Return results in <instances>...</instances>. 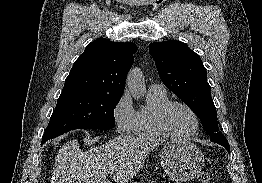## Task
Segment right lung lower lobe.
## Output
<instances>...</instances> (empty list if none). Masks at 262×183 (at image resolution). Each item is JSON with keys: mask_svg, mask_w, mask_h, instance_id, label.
<instances>
[{"mask_svg": "<svg viewBox=\"0 0 262 183\" xmlns=\"http://www.w3.org/2000/svg\"><path fill=\"white\" fill-rule=\"evenodd\" d=\"M46 141H47L46 139H42L41 145H42L43 143H45Z\"/></svg>", "mask_w": 262, "mask_h": 183, "instance_id": "obj_1", "label": "right lung lower lobe"}]
</instances>
